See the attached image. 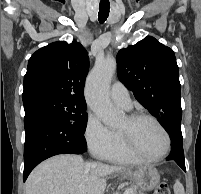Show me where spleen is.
Returning <instances> with one entry per match:
<instances>
[{
    "mask_svg": "<svg viewBox=\"0 0 201 194\" xmlns=\"http://www.w3.org/2000/svg\"><path fill=\"white\" fill-rule=\"evenodd\" d=\"M173 189L174 194H185L184 187L178 179L175 181Z\"/></svg>",
    "mask_w": 201,
    "mask_h": 194,
    "instance_id": "obj_1",
    "label": "spleen"
}]
</instances>
